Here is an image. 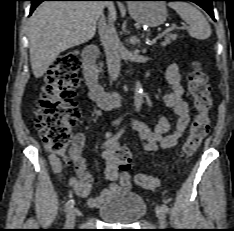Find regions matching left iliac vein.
Returning <instances> with one entry per match:
<instances>
[{
    "mask_svg": "<svg viewBox=\"0 0 234 231\" xmlns=\"http://www.w3.org/2000/svg\"><path fill=\"white\" fill-rule=\"evenodd\" d=\"M156 216L159 220L160 226L165 227L166 215L164 210L160 206H156Z\"/></svg>",
    "mask_w": 234,
    "mask_h": 231,
    "instance_id": "left-iliac-vein-1",
    "label": "left iliac vein"
}]
</instances>
